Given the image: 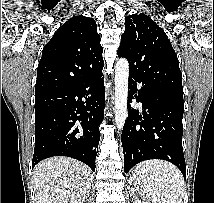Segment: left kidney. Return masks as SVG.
Returning <instances> with one entry per match:
<instances>
[{"mask_svg": "<svg viewBox=\"0 0 214 203\" xmlns=\"http://www.w3.org/2000/svg\"><path fill=\"white\" fill-rule=\"evenodd\" d=\"M133 203H145V202L141 200H135Z\"/></svg>", "mask_w": 214, "mask_h": 203, "instance_id": "1", "label": "left kidney"}]
</instances>
